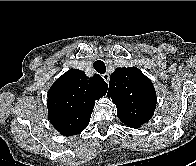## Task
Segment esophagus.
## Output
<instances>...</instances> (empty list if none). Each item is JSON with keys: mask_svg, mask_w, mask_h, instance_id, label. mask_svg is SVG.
Segmentation results:
<instances>
[{"mask_svg": "<svg viewBox=\"0 0 196 166\" xmlns=\"http://www.w3.org/2000/svg\"><path fill=\"white\" fill-rule=\"evenodd\" d=\"M102 78L104 79V81L106 83H109V80H110V75L108 73H105L102 75Z\"/></svg>", "mask_w": 196, "mask_h": 166, "instance_id": "1", "label": "esophagus"}]
</instances>
